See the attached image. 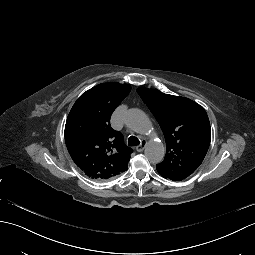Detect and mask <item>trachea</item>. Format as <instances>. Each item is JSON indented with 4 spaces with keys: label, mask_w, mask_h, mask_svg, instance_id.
I'll return each instance as SVG.
<instances>
[{
    "label": "trachea",
    "mask_w": 255,
    "mask_h": 255,
    "mask_svg": "<svg viewBox=\"0 0 255 255\" xmlns=\"http://www.w3.org/2000/svg\"><path fill=\"white\" fill-rule=\"evenodd\" d=\"M140 144V141L134 137V136H130L128 139V145L133 147V146H138Z\"/></svg>",
    "instance_id": "obj_1"
}]
</instances>
